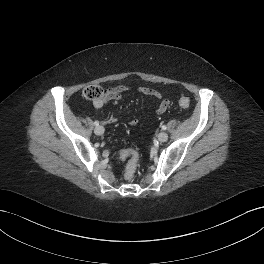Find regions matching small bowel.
<instances>
[{
  "label": "small bowel",
  "instance_id": "1",
  "mask_svg": "<svg viewBox=\"0 0 264 264\" xmlns=\"http://www.w3.org/2000/svg\"><path fill=\"white\" fill-rule=\"evenodd\" d=\"M131 89L132 87L129 84H121L115 87L108 88L104 91V96L102 98L93 101V107L98 110L101 109L106 103L110 101H120L123 98V94ZM136 90L145 96L155 98L159 101L158 106L156 108L157 114H163L170 105V101L166 98H163L162 93L155 89L139 86L136 88ZM115 121H116V117L113 115H111L107 119V123H114ZM135 124H136V120H132L131 125H135ZM118 157L122 159L119 156V154Z\"/></svg>",
  "mask_w": 264,
  "mask_h": 264
}]
</instances>
